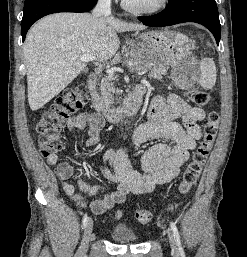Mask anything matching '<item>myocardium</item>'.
<instances>
[{
    "label": "myocardium",
    "instance_id": "myocardium-1",
    "mask_svg": "<svg viewBox=\"0 0 247 257\" xmlns=\"http://www.w3.org/2000/svg\"><path fill=\"white\" fill-rule=\"evenodd\" d=\"M169 0H159L152 6H136L127 0H122V6L127 11L137 15H155L162 12L168 5Z\"/></svg>",
    "mask_w": 247,
    "mask_h": 257
}]
</instances>
